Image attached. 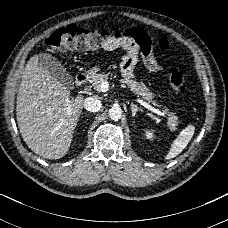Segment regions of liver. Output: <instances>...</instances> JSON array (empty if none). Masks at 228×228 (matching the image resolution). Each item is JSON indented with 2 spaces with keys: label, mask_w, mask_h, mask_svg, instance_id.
<instances>
[{
  "label": "liver",
  "mask_w": 228,
  "mask_h": 228,
  "mask_svg": "<svg viewBox=\"0 0 228 228\" xmlns=\"http://www.w3.org/2000/svg\"><path fill=\"white\" fill-rule=\"evenodd\" d=\"M83 106L84 97L70 99V91L39 65V55L30 58L16 105L18 128L30 150L50 160L63 158L70 151Z\"/></svg>",
  "instance_id": "6515ba94"
}]
</instances>
